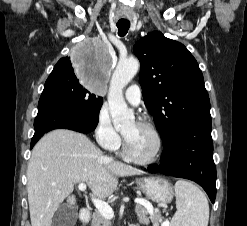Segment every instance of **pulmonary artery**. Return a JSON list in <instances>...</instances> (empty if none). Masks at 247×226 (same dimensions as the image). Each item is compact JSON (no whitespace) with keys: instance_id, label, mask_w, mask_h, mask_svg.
<instances>
[{"instance_id":"pulmonary-artery-1","label":"pulmonary artery","mask_w":247,"mask_h":226,"mask_svg":"<svg viewBox=\"0 0 247 226\" xmlns=\"http://www.w3.org/2000/svg\"><path fill=\"white\" fill-rule=\"evenodd\" d=\"M126 100L133 106H137L141 102V91L138 85L133 84L125 90Z\"/></svg>"}]
</instances>
